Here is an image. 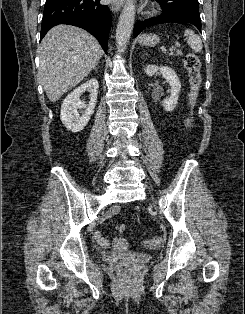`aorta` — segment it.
Listing matches in <instances>:
<instances>
[{
    "mask_svg": "<svg viewBox=\"0 0 245 314\" xmlns=\"http://www.w3.org/2000/svg\"><path fill=\"white\" fill-rule=\"evenodd\" d=\"M136 6L134 0H128L119 18L116 29V43L120 52H124L133 30Z\"/></svg>",
    "mask_w": 245,
    "mask_h": 314,
    "instance_id": "1",
    "label": "aorta"
}]
</instances>
